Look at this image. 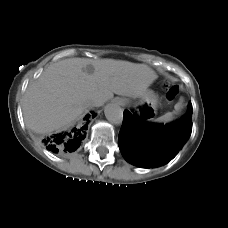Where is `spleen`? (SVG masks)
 Listing matches in <instances>:
<instances>
[{
  "label": "spleen",
  "instance_id": "obj_1",
  "mask_svg": "<svg viewBox=\"0 0 228 228\" xmlns=\"http://www.w3.org/2000/svg\"><path fill=\"white\" fill-rule=\"evenodd\" d=\"M182 107V104L179 102L175 105V111L173 112H167L164 115H162L161 117L157 118V121L159 122H168L171 121L173 119V116L176 112H178Z\"/></svg>",
  "mask_w": 228,
  "mask_h": 228
}]
</instances>
